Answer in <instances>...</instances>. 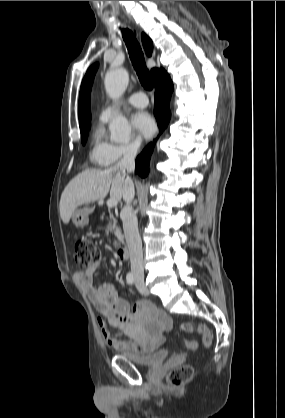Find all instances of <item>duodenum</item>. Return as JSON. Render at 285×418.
Listing matches in <instances>:
<instances>
[{"instance_id": "1", "label": "duodenum", "mask_w": 285, "mask_h": 418, "mask_svg": "<svg viewBox=\"0 0 285 418\" xmlns=\"http://www.w3.org/2000/svg\"><path fill=\"white\" fill-rule=\"evenodd\" d=\"M117 255L120 259L126 260L129 258V248L127 246H121L117 249Z\"/></svg>"}]
</instances>
